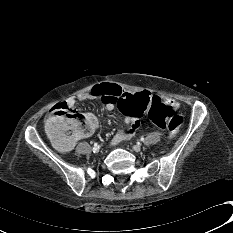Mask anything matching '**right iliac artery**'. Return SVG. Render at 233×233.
I'll list each match as a JSON object with an SVG mask.
<instances>
[{"instance_id":"right-iliac-artery-1","label":"right iliac artery","mask_w":233,"mask_h":233,"mask_svg":"<svg viewBox=\"0 0 233 233\" xmlns=\"http://www.w3.org/2000/svg\"><path fill=\"white\" fill-rule=\"evenodd\" d=\"M93 148H99L98 144L95 143ZM94 153H95V151H94Z\"/></svg>"}]
</instances>
